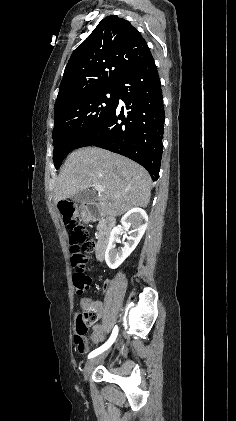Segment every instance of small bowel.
Returning <instances> with one entry per match:
<instances>
[{
  "instance_id": "1",
  "label": "small bowel",
  "mask_w": 236,
  "mask_h": 421,
  "mask_svg": "<svg viewBox=\"0 0 236 421\" xmlns=\"http://www.w3.org/2000/svg\"><path fill=\"white\" fill-rule=\"evenodd\" d=\"M81 304L82 305H86V304H90V305H92V306H94L96 309H97V311H99V312H101V313H103V306H102V304L100 303V302H98V301H93V302H91V301H88V300H83L82 302H81ZM101 327H103L102 325H96V326H94V328H93V333L91 334V340L94 342V338H95V336H96V334H97V332H98V330L101 328Z\"/></svg>"
}]
</instances>
